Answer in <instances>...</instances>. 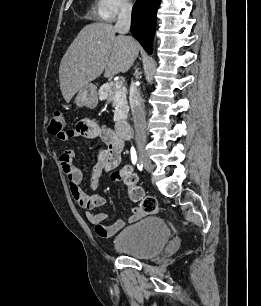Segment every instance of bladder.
<instances>
[{
    "instance_id": "31cf9c89",
    "label": "bladder",
    "mask_w": 261,
    "mask_h": 306,
    "mask_svg": "<svg viewBox=\"0 0 261 306\" xmlns=\"http://www.w3.org/2000/svg\"><path fill=\"white\" fill-rule=\"evenodd\" d=\"M169 237L170 230L164 219L146 217L124 227L113 238V248L137 259H150L161 253Z\"/></svg>"
}]
</instances>
